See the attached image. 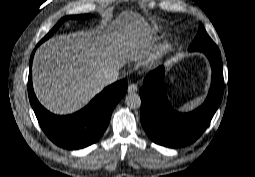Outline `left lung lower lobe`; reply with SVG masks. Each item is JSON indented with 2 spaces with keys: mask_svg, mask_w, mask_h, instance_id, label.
Segmentation results:
<instances>
[{
  "mask_svg": "<svg viewBox=\"0 0 255 177\" xmlns=\"http://www.w3.org/2000/svg\"><path fill=\"white\" fill-rule=\"evenodd\" d=\"M212 67V84L204 104L188 114L176 112L165 94L164 68L150 72L140 89L141 123L151 140L166 147L195 141L207 128L223 95V69L218 49L202 51Z\"/></svg>",
  "mask_w": 255,
  "mask_h": 177,
  "instance_id": "obj_1",
  "label": "left lung lower lobe"
}]
</instances>
